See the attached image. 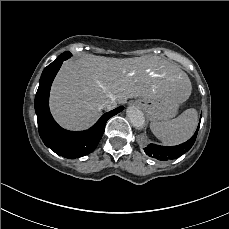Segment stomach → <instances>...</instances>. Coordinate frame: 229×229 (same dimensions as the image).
<instances>
[{
    "label": "stomach",
    "mask_w": 229,
    "mask_h": 229,
    "mask_svg": "<svg viewBox=\"0 0 229 229\" xmlns=\"http://www.w3.org/2000/svg\"><path fill=\"white\" fill-rule=\"evenodd\" d=\"M190 95V94H189ZM188 96H183L180 100L169 101L166 97L157 99H139L137 107L142 109L147 118L152 121H168L175 117L180 103L186 101Z\"/></svg>",
    "instance_id": "obj_1"
}]
</instances>
